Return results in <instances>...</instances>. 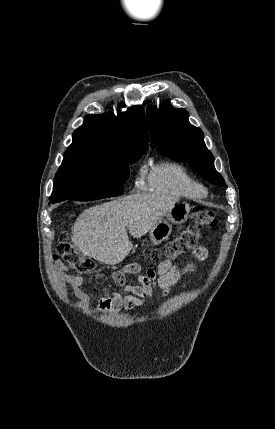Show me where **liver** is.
<instances>
[{"label": "liver", "mask_w": 275, "mask_h": 429, "mask_svg": "<svg viewBox=\"0 0 275 429\" xmlns=\"http://www.w3.org/2000/svg\"><path fill=\"white\" fill-rule=\"evenodd\" d=\"M177 199L161 194H133L84 210L72 228V242L87 256L115 265L133 248L127 230L135 238L145 235Z\"/></svg>", "instance_id": "obj_1"}]
</instances>
